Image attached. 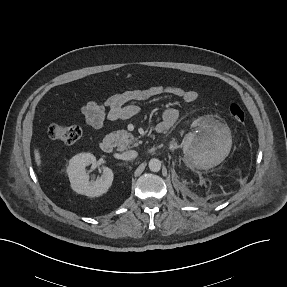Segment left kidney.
<instances>
[{"instance_id":"left-kidney-1","label":"left kidney","mask_w":287,"mask_h":287,"mask_svg":"<svg viewBox=\"0 0 287 287\" xmlns=\"http://www.w3.org/2000/svg\"><path fill=\"white\" fill-rule=\"evenodd\" d=\"M199 123L194 122L193 126ZM204 135L199 138L188 135L184 139L183 151L192 165L208 169L218 165L230 152L232 139L229 129L217 125H203Z\"/></svg>"}]
</instances>
